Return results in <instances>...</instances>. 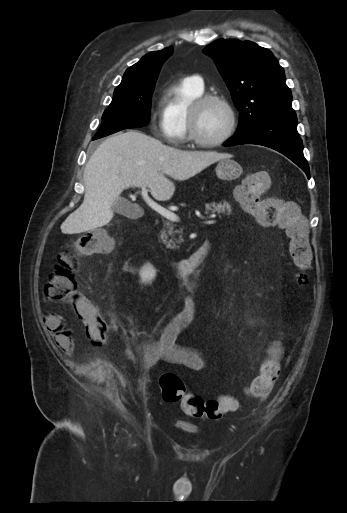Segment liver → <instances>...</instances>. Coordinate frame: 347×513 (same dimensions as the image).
Instances as JSON below:
<instances>
[{"mask_svg": "<svg viewBox=\"0 0 347 513\" xmlns=\"http://www.w3.org/2000/svg\"><path fill=\"white\" fill-rule=\"evenodd\" d=\"M231 154L183 151L164 145L142 132L130 130L104 140L86 164L82 205L61 224L64 234H76L107 225L113 205L124 189L144 185L159 201L175 192L174 183L188 180Z\"/></svg>", "mask_w": 347, "mask_h": 513, "instance_id": "6515ba94", "label": "liver"}]
</instances>
